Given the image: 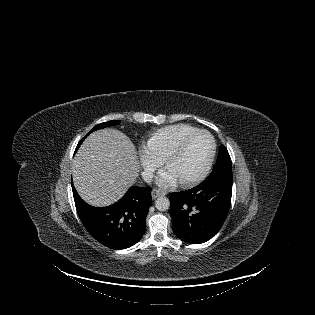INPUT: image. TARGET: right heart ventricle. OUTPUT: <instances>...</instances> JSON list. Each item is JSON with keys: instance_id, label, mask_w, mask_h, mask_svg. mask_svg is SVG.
<instances>
[{"instance_id": "e07e8e85", "label": "right heart ventricle", "mask_w": 315, "mask_h": 315, "mask_svg": "<svg viewBox=\"0 0 315 315\" xmlns=\"http://www.w3.org/2000/svg\"><path fill=\"white\" fill-rule=\"evenodd\" d=\"M197 128L188 124H174L165 126L154 131L146 142L148 150L160 161L187 134L196 131Z\"/></svg>"}]
</instances>
